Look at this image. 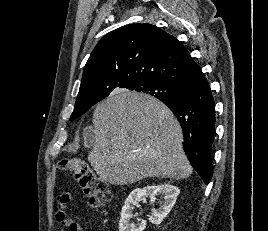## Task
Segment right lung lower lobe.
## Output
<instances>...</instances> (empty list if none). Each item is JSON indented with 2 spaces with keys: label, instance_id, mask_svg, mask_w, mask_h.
<instances>
[{
  "label": "right lung lower lobe",
  "instance_id": "right-lung-lower-lobe-1",
  "mask_svg": "<svg viewBox=\"0 0 268 231\" xmlns=\"http://www.w3.org/2000/svg\"><path fill=\"white\" fill-rule=\"evenodd\" d=\"M177 97L162 99L181 124L184 151L205 184L212 177V144L215 134V106L210 85L201 77L182 86Z\"/></svg>",
  "mask_w": 268,
  "mask_h": 231
}]
</instances>
